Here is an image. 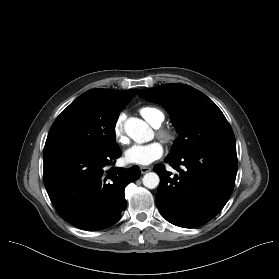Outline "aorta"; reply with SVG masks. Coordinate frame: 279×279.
Segmentation results:
<instances>
[{"instance_id": "obj_1", "label": "aorta", "mask_w": 279, "mask_h": 279, "mask_svg": "<svg viewBox=\"0 0 279 279\" xmlns=\"http://www.w3.org/2000/svg\"><path fill=\"white\" fill-rule=\"evenodd\" d=\"M126 134L137 143L148 140L151 130L146 122L138 118H129L124 124ZM143 185L154 189L159 185L160 178L155 172L146 173L142 179Z\"/></svg>"}]
</instances>
